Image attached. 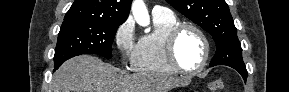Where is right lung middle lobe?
<instances>
[{
  "label": "right lung middle lobe",
  "mask_w": 289,
  "mask_h": 92,
  "mask_svg": "<svg viewBox=\"0 0 289 92\" xmlns=\"http://www.w3.org/2000/svg\"><path fill=\"white\" fill-rule=\"evenodd\" d=\"M123 22L64 21L58 34L54 55V70L67 59L85 53L112 57V43Z\"/></svg>",
  "instance_id": "dd1d6c3e"
}]
</instances>
